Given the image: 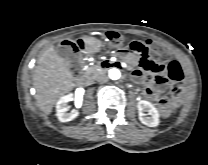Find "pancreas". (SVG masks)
<instances>
[{
    "mask_svg": "<svg viewBox=\"0 0 208 165\" xmlns=\"http://www.w3.org/2000/svg\"><path fill=\"white\" fill-rule=\"evenodd\" d=\"M86 74L95 76L97 74V70L94 67H90L86 70Z\"/></svg>",
    "mask_w": 208,
    "mask_h": 165,
    "instance_id": "1",
    "label": "pancreas"
}]
</instances>
